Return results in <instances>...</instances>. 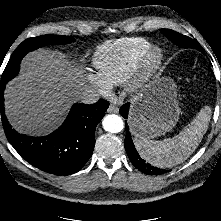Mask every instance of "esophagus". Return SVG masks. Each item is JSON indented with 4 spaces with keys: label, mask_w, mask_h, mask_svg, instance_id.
<instances>
[{
    "label": "esophagus",
    "mask_w": 221,
    "mask_h": 221,
    "mask_svg": "<svg viewBox=\"0 0 221 221\" xmlns=\"http://www.w3.org/2000/svg\"><path fill=\"white\" fill-rule=\"evenodd\" d=\"M107 111H108V113H118L119 112V108L115 104H110V106L108 107Z\"/></svg>",
    "instance_id": "1"
}]
</instances>
